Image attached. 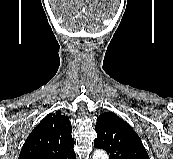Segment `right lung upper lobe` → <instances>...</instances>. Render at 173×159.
I'll return each instance as SVG.
<instances>
[{
	"label": "right lung upper lobe",
	"mask_w": 173,
	"mask_h": 159,
	"mask_svg": "<svg viewBox=\"0 0 173 159\" xmlns=\"http://www.w3.org/2000/svg\"><path fill=\"white\" fill-rule=\"evenodd\" d=\"M69 118L48 114L27 137L19 159H76Z\"/></svg>",
	"instance_id": "right-lung-upper-lobe-1"
}]
</instances>
